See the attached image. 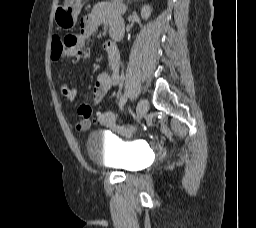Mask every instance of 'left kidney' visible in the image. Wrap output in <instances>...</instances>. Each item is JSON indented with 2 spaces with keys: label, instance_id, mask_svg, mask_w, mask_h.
Here are the masks:
<instances>
[{
  "label": "left kidney",
  "instance_id": "left-kidney-1",
  "mask_svg": "<svg viewBox=\"0 0 256 228\" xmlns=\"http://www.w3.org/2000/svg\"><path fill=\"white\" fill-rule=\"evenodd\" d=\"M152 8L150 5H145L141 10V17L147 20L151 16Z\"/></svg>",
  "mask_w": 256,
  "mask_h": 228
}]
</instances>
